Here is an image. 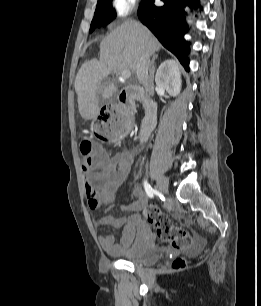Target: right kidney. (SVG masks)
<instances>
[{"label":"right kidney","mask_w":261,"mask_h":306,"mask_svg":"<svg viewBox=\"0 0 261 306\" xmlns=\"http://www.w3.org/2000/svg\"><path fill=\"white\" fill-rule=\"evenodd\" d=\"M155 82L171 96H177L181 90V77L178 63L174 60L164 61L158 68Z\"/></svg>","instance_id":"ca27d5eb"}]
</instances>
